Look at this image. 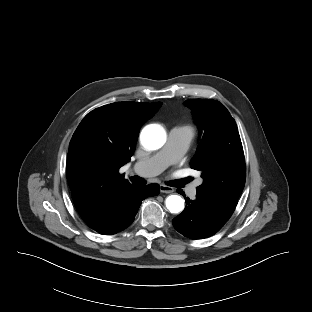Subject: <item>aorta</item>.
Segmentation results:
<instances>
[{"mask_svg": "<svg viewBox=\"0 0 312 312\" xmlns=\"http://www.w3.org/2000/svg\"><path fill=\"white\" fill-rule=\"evenodd\" d=\"M140 139L146 149L157 150L166 142V132L159 125H148L142 130ZM166 207L171 213H179L184 209V200L179 195H170L166 199Z\"/></svg>", "mask_w": 312, "mask_h": 312, "instance_id": "1", "label": "aorta"}]
</instances>
